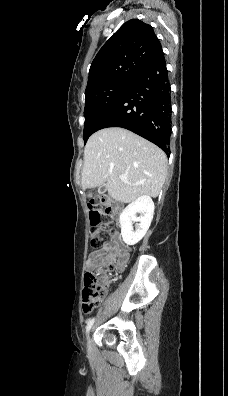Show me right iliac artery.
<instances>
[{
	"label": "right iliac artery",
	"instance_id": "obj_1",
	"mask_svg": "<svg viewBox=\"0 0 228 396\" xmlns=\"http://www.w3.org/2000/svg\"><path fill=\"white\" fill-rule=\"evenodd\" d=\"M94 321H95L94 318H92V319H90V320L88 321L87 326H86V332H87V333H88L89 330L91 329V327H92Z\"/></svg>",
	"mask_w": 228,
	"mask_h": 396
}]
</instances>
